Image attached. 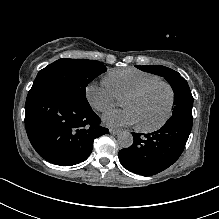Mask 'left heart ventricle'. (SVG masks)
<instances>
[{
  "instance_id": "left-heart-ventricle-1",
  "label": "left heart ventricle",
  "mask_w": 219,
  "mask_h": 219,
  "mask_svg": "<svg viewBox=\"0 0 219 219\" xmlns=\"http://www.w3.org/2000/svg\"><path fill=\"white\" fill-rule=\"evenodd\" d=\"M169 104V91L164 85H156L142 94L124 98L122 105L132 109L138 117V125L154 126L162 121Z\"/></svg>"
}]
</instances>
